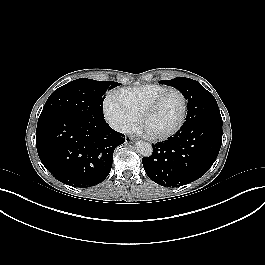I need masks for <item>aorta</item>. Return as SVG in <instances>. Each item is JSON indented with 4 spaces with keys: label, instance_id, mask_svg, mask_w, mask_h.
<instances>
[{
    "label": "aorta",
    "instance_id": "1",
    "mask_svg": "<svg viewBox=\"0 0 265 265\" xmlns=\"http://www.w3.org/2000/svg\"><path fill=\"white\" fill-rule=\"evenodd\" d=\"M136 151L144 157H149L153 153V147L150 143L146 141L136 142Z\"/></svg>",
    "mask_w": 265,
    "mask_h": 265
}]
</instances>
